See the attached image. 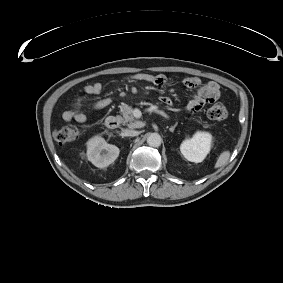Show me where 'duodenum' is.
I'll list each match as a JSON object with an SVG mask.
<instances>
[{"label": "duodenum", "mask_w": 283, "mask_h": 283, "mask_svg": "<svg viewBox=\"0 0 283 283\" xmlns=\"http://www.w3.org/2000/svg\"><path fill=\"white\" fill-rule=\"evenodd\" d=\"M120 124V120L116 116H109L105 119V126L108 129H116Z\"/></svg>", "instance_id": "obj_1"}]
</instances>
